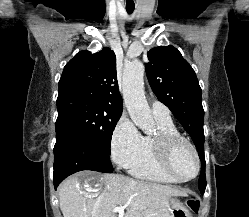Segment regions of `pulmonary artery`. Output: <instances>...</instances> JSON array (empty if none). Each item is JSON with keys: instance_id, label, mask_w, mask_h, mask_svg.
I'll use <instances>...</instances> for the list:
<instances>
[{"instance_id": "e3ab8cb5", "label": "pulmonary artery", "mask_w": 249, "mask_h": 217, "mask_svg": "<svg viewBox=\"0 0 249 217\" xmlns=\"http://www.w3.org/2000/svg\"><path fill=\"white\" fill-rule=\"evenodd\" d=\"M152 114L155 118L162 119V120H170V110L167 106L159 101H153L151 104Z\"/></svg>"}]
</instances>
